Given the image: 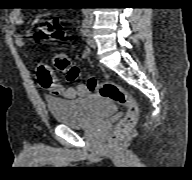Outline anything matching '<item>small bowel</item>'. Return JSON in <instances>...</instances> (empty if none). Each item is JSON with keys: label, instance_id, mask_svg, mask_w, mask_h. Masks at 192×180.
<instances>
[{"label": "small bowel", "instance_id": "small-bowel-1", "mask_svg": "<svg viewBox=\"0 0 192 180\" xmlns=\"http://www.w3.org/2000/svg\"><path fill=\"white\" fill-rule=\"evenodd\" d=\"M10 22L13 25H21L23 23V16L20 10H14L10 14ZM17 42L23 43V39L20 35L16 36ZM38 78L43 88L49 90L53 95L62 98L73 99L79 96H83L87 93V89L84 85H77L73 87H65L60 84L51 69L44 64L38 67Z\"/></svg>", "mask_w": 192, "mask_h": 180}]
</instances>
